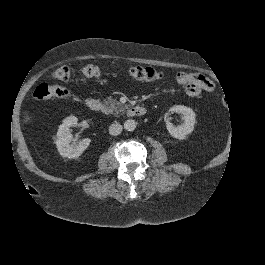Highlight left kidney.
<instances>
[{
    "mask_svg": "<svg viewBox=\"0 0 265 265\" xmlns=\"http://www.w3.org/2000/svg\"><path fill=\"white\" fill-rule=\"evenodd\" d=\"M169 112L181 113L183 114L185 120V123L181 126H173L172 124L167 125V129L171 137L179 140L186 139L187 136L194 131L195 125L197 123L196 114L191 108L182 105L173 106Z\"/></svg>",
    "mask_w": 265,
    "mask_h": 265,
    "instance_id": "obj_1",
    "label": "left kidney"
}]
</instances>
